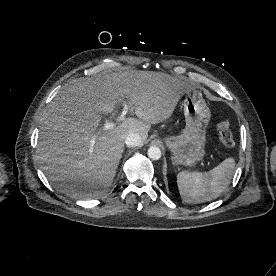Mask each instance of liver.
<instances>
[{
  "label": "liver",
  "instance_id": "1",
  "mask_svg": "<svg viewBox=\"0 0 276 276\" xmlns=\"http://www.w3.org/2000/svg\"><path fill=\"white\" fill-rule=\"evenodd\" d=\"M193 90L162 72L125 71L79 78L64 86L44 112L37 146L48 180L78 199L100 197L116 175L130 133L146 141L151 124L167 120L181 97ZM128 103L137 118L109 130L98 129L101 114Z\"/></svg>",
  "mask_w": 276,
  "mask_h": 276
}]
</instances>
